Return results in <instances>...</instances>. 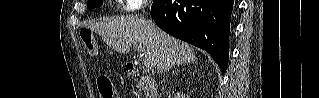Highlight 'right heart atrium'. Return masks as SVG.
<instances>
[{
	"mask_svg": "<svg viewBox=\"0 0 319 98\" xmlns=\"http://www.w3.org/2000/svg\"><path fill=\"white\" fill-rule=\"evenodd\" d=\"M124 2L126 4L127 10H135V9H138L146 4V1H144V0H127Z\"/></svg>",
	"mask_w": 319,
	"mask_h": 98,
	"instance_id": "1",
	"label": "right heart atrium"
}]
</instances>
